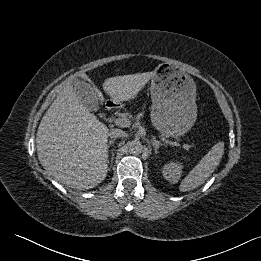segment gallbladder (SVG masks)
<instances>
[{"instance_id": "gallbladder-1", "label": "gallbladder", "mask_w": 261, "mask_h": 261, "mask_svg": "<svg viewBox=\"0 0 261 261\" xmlns=\"http://www.w3.org/2000/svg\"><path fill=\"white\" fill-rule=\"evenodd\" d=\"M72 86L80 97L81 102L88 110L94 111L98 108L96 93L88 83L82 81L78 77H75L72 80Z\"/></svg>"}]
</instances>
